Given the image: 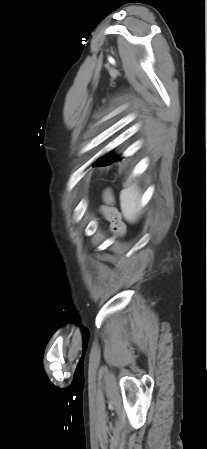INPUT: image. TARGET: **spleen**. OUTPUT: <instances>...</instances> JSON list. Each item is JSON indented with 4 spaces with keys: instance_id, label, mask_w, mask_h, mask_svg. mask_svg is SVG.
Masks as SVG:
<instances>
[{
    "instance_id": "3e777b00",
    "label": "spleen",
    "mask_w": 207,
    "mask_h": 449,
    "mask_svg": "<svg viewBox=\"0 0 207 449\" xmlns=\"http://www.w3.org/2000/svg\"><path fill=\"white\" fill-rule=\"evenodd\" d=\"M140 189L135 184H125L120 193V205L125 220L136 222L140 216Z\"/></svg>"
}]
</instances>
